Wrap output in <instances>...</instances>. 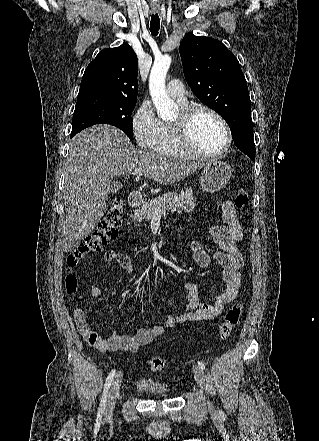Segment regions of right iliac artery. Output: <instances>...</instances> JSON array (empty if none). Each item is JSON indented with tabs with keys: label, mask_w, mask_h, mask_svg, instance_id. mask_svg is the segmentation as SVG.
Returning <instances> with one entry per match:
<instances>
[{
	"label": "right iliac artery",
	"mask_w": 319,
	"mask_h": 441,
	"mask_svg": "<svg viewBox=\"0 0 319 441\" xmlns=\"http://www.w3.org/2000/svg\"><path fill=\"white\" fill-rule=\"evenodd\" d=\"M115 372H116L115 369H113L109 373V375H108V377L106 379L105 387H104V390H103V394H102V397H101V400H100L99 409H98V416L99 417H101L103 415V413H104L108 390H109V387H110V385H111V383L113 381V378L115 376Z\"/></svg>",
	"instance_id": "right-iliac-artery-1"
}]
</instances>
